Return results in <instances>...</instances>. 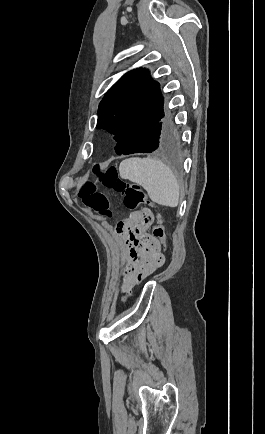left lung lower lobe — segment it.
Returning <instances> with one entry per match:
<instances>
[{
  "instance_id": "obj_1",
  "label": "left lung lower lobe",
  "mask_w": 265,
  "mask_h": 434,
  "mask_svg": "<svg viewBox=\"0 0 265 434\" xmlns=\"http://www.w3.org/2000/svg\"><path fill=\"white\" fill-rule=\"evenodd\" d=\"M182 141L178 129L169 121L151 127L127 138L121 145L115 147L118 155L132 153H175L181 149Z\"/></svg>"
}]
</instances>
